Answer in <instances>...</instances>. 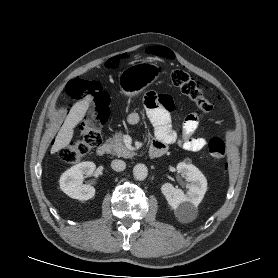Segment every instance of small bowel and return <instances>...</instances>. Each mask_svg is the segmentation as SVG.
<instances>
[{
  "mask_svg": "<svg viewBox=\"0 0 278 278\" xmlns=\"http://www.w3.org/2000/svg\"><path fill=\"white\" fill-rule=\"evenodd\" d=\"M144 104L148 118L154 127V144L163 145L166 149L168 145L177 142L185 150L191 152L201 151L206 146L205 138L193 136L202 118L201 114H189L181 126L179 135L171 122L170 111L173 109V101L169 95L158 96L154 92H149L145 96ZM127 121L135 125L140 121V116L138 113H131Z\"/></svg>",
  "mask_w": 278,
  "mask_h": 278,
  "instance_id": "c3829d8e",
  "label": "small bowel"
}]
</instances>
